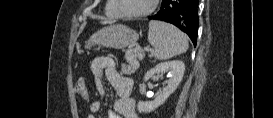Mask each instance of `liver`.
I'll list each match as a JSON object with an SVG mask.
<instances>
[{
	"instance_id": "obj_1",
	"label": "liver",
	"mask_w": 273,
	"mask_h": 118,
	"mask_svg": "<svg viewBox=\"0 0 273 118\" xmlns=\"http://www.w3.org/2000/svg\"><path fill=\"white\" fill-rule=\"evenodd\" d=\"M103 23H104V24H105V23H108V21H104Z\"/></svg>"
}]
</instances>
